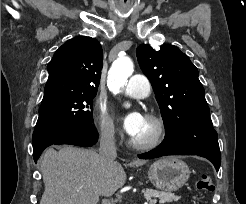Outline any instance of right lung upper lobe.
Segmentation results:
<instances>
[{"label":"right lung upper lobe","instance_id":"obj_1","mask_svg":"<svg viewBox=\"0 0 246 204\" xmlns=\"http://www.w3.org/2000/svg\"><path fill=\"white\" fill-rule=\"evenodd\" d=\"M103 62L98 40L79 36L68 40L48 64L42 101L72 93H97Z\"/></svg>","mask_w":246,"mask_h":204}]
</instances>
